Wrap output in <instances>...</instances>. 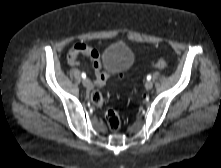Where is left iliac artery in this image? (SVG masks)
I'll use <instances>...</instances> for the list:
<instances>
[{
  "label": "left iliac artery",
  "mask_w": 221,
  "mask_h": 168,
  "mask_svg": "<svg viewBox=\"0 0 221 168\" xmlns=\"http://www.w3.org/2000/svg\"><path fill=\"white\" fill-rule=\"evenodd\" d=\"M147 80L150 81L151 80V75L147 76Z\"/></svg>",
  "instance_id": "left-iliac-artery-1"
}]
</instances>
